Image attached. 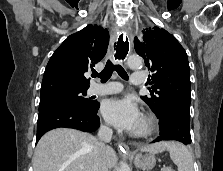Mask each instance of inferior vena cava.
Instances as JSON below:
<instances>
[{
    "instance_id": "inferior-vena-cava-1",
    "label": "inferior vena cava",
    "mask_w": 223,
    "mask_h": 171,
    "mask_svg": "<svg viewBox=\"0 0 223 171\" xmlns=\"http://www.w3.org/2000/svg\"><path fill=\"white\" fill-rule=\"evenodd\" d=\"M112 134V129L108 126L102 125L99 128L92 171H108L105 160V150L108 147L106 144L111 141Z\"/></svg>"
}]
</instances>
